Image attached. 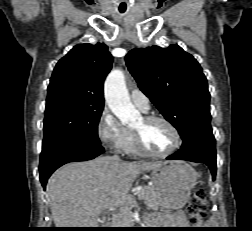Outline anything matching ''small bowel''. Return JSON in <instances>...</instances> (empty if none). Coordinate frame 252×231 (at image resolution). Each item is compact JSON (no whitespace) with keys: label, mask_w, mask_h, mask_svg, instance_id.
Masks as SVG:
<instances>
[{"label":"small bowel","mask_w":252,"mask_h":231,"mask_svg":"<svg viewBox=\"0 0 252 231\" xmlns=\"http://www.w3.org/2000/svg\"><path fill=\"white\" fill-rule=\"evenodd\" d=\"M166 219L173 221L176 224V226L180 227L179 231H187V228L189 227V224L181 211L167 214Z\"/></svg>","instance_id":"1"}]
</instances>
